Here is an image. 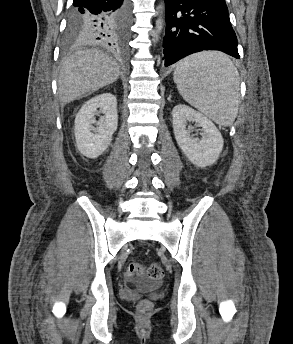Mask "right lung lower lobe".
I'll list each match as a JSON object with an SVG mask.
<instances>
[{"label":"right lung lower lobe","instance_id":"98d812e1","mask_svg":"<svg viewBox=\"0 0 293 344\" xmlns=\"http://www.w3.org/2000/svg\"><path fill=\"white\" fill-rule=\"evenodd\" d=\"M73 11L85 14L84 43L123 46L130 21V0H73Z\"/></svg>","mask_w":293,"mask_h":344}]
</instances>
